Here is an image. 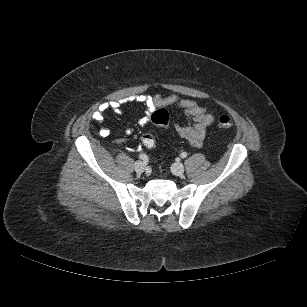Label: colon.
Here are the masks:
<instances>
[{"instance_id":"obj_1","label":"colon","mask_w":307,"mask_h":307,"mask_svg":"<svg viewBox=\"0 0 307 307\" xmlns=\"http://www.w3.org/2000/svg\"><path fill=\"white\" fill-rule=\"evenodd\" d=\"M151 120L159 126H166L169 123V113L166 109H159L152 113ZM233 125L232 119L227 115H222L218 119L220 128H230ZM141 144L147 149H153L156 145V139L151 132H145L141 137Z\"/></svg>"}]
</instances>
